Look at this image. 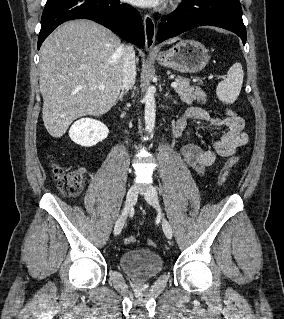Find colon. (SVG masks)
I'll return each mask as SVG.
<instances>
[{
  "label": "colon",
  "instance_id": "5ec220e1",
  "mask_svg": "<svg viewBox=\"0 0 284 319\" xmlns=\"http://www.w3.org/2000/svg\"><path fill=\"white\" fill-rule=\"evenodd\" d=\"M227 116L230 118H233V117H236L237 115L233 110H228ZM237 162H238V158L236 156H232L228 158L220 174V178H219L220 184H224L228 180ZM53 171H54L55 180L57 182V186L64 196L75 197L80 193L83 186V176L80 172L78 171L65 172L63 168L60 166H55ZM135 240L136 239L133 236L127 237L124 240V243L126 245H131L135 242ZM148 244L150 246H154V243L151 240H148Z\"/></svg>",
  "mask_w": 284,
  "mask_h": 319
}]
</instances>
